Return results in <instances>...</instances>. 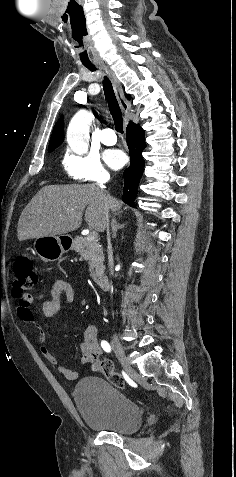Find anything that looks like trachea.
<instances>
[{
	"instance_id": "3493384b",
	"label": "trachea",
	"mask_w": 236,
	"mask_h": 477,
	"mask_svg": "<svg viewBox=\"0 0 236 477\" xmlns=\"http://www.w3.org/2000/svg\"><path fill=\"white\" fill-rule=\"evenodd\" d=\"M83 65L88 68L90 71H96V68L91 63H83ZM103 90L108 102L110 113L114 120L115 130L118 133H123V117L120 106L116 99L112 84L107 77H104L103 80Z\"/></svg>"
}]
</instances>
